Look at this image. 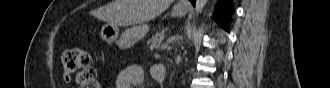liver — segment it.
<instances>
[{
  "label": "liver",
  "instance_id": "obj_1",
  "mask_svg": "<svg viewBox=\"0 0 330 88\" xmlns=\"http://www.w3.org/2000/svg\"><path fill=\"white\" fill-rule=\"evenodd\" d=\"M173 0H113L100 12L109 24L130 26L150 21L164 12Z\"/></svg>",
  "mask_w": 330,
  "mask_h": 88
}]
</instances>
